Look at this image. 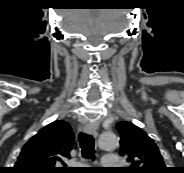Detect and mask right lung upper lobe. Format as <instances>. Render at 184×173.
Here are the masks:
<instances>
[{
	"label": "right lung upper lobe",
	"mask_w": 184,
	"mask_h": 173,
	"mask_svg": "<svg viewBox=\"0 0 184 173\" xmlns=\"http://www.w3.org/2000/svg\"><path fill=\"white\" fill-rule=\"evenodd\" d=\"M73 143L71 126L63 120L54 121L25 144L13 172L70 173L64 159L70 158Z\"/></svg>",
	"instance_id": "right-lung-upper-lobe-1"
}]
</instances>
